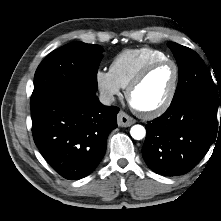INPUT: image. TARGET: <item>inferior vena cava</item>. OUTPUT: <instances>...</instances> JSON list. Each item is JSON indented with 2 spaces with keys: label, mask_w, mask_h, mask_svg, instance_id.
Masks as SVG:
<instances>
[{
  "label": "inferior vena cava",
  "mask_w": 221,
  "mask_h": 221,
  "mask_svg": "<svg viewBox=\"0 0 221 221\" xmlns=\"http://www.w3.org/2000/svg\"><path fill=\"white\" fill-rule=\"evenodd\" d=\"M99 101L103 105H111L115 101V98L112 93L105 91L100 93Z\"/></svg>",
  "instance_id": "602c4592"
}]
</instances>
